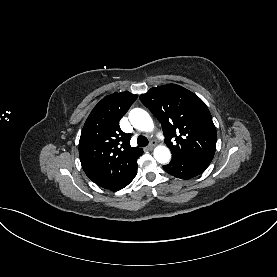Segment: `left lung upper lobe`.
Returning <instances> with one entry per match:
<instances>
[{
  "label": "left lung upper lobe",
  "mask_w": 277,
  "mask_h": 277,
  "mask_svg": "<svg viewBox=\"0 0 277 277\" xmlns=\"http://www.w3.org/2000/svg\"><path fill=\"white\" fill-rule=\"evenodd\" d=\"M140 100L160 120L172 157L213 158L216 128L207 106L197 95L168 84L151 88L140 95Z\"/></svg>",
  "instance_id": "left-lung-upper-lobe-1"
}]
</instances>
